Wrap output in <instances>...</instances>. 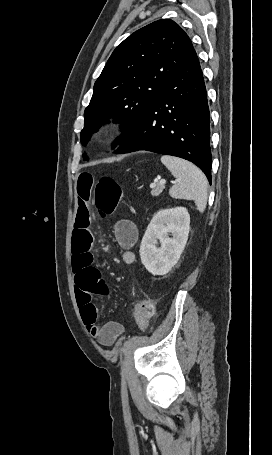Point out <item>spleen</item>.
<instances>
[{"label":"spleen","instance_id":"1","mask_svg":"<svg viewBox=\"0 0 272 455\" xmlns=\"http://www.w3.org/2000/svg\"><path fill=\"white\" fill-rule=\"evenodd\" d=\"M161 162L176 178L169 190L171 197L193 200L199 212H204L208 198V182L204 173L192 163L178 157L164 155Z\"/></svg>","mask_w":272,"mask_h":455}]
</instances>
